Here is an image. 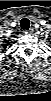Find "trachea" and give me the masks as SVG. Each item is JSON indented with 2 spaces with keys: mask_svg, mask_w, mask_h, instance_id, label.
<instances>
[{
  "mask_svg": "<svg viewBox=\"0 0 51 101\" xmlns=\"http://www.w3.org/2000/svg\"><path fill=\"white\" fill-rule=\"evenodd\" d=\"M20 26H21L22 29L28 30L29 27H30V21H29L27 18H23V19L20 21Z\"/></svg>",
  "mask_w": 51,
  "mask_h": 101,
  "instance_id": "3493384b",
  "label": "trachea"
}]
</instances>
